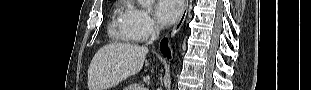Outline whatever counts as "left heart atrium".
I'll list each match as a JSON object with an SVG mask.
<instances>
[{
    "label": "left heart atrium",
    "mask_w": 311,
    "mask_h": 90,
    "mask_svg": "<svg viewBox=\"0 0 311 90\" xmlns=\"http://www.w3.org/2000/svg\"><path fill=\"white\" fill-rule=\"evenodd\" d=\"M155 11L159 23L167 27L180 16L182 3L180 0H161L157 3Z\"/></svg>",
    "instance_id": "1"
}]
</instances>
